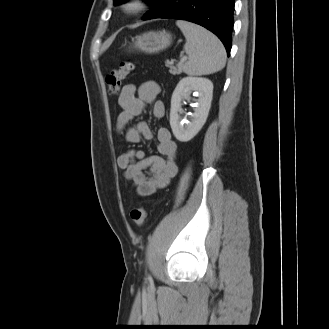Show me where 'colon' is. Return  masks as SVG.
Listing matches in <instances>:
<instances>
[{
    "instance_id": "obj_1",
    "label": "colon",
    "mask_w": 329,
    "mask_h": 329,
    "mask_svg": "<svg viewBox=\"0 0 329 329\" xmlns=\"http://www.w3.org/2000/svg\"><path fill=\"white\" fill-rule=\"evenodd\" d=\"M134 69V64L128 61H123L118 69L113 70L106 76V83L111 94H118L121 90V84L124 78L129 75ZM131 219L134 224L142 228L146 221V210L143 206L134 208L131 211Z\"/></svg>"
}]
</instances>
